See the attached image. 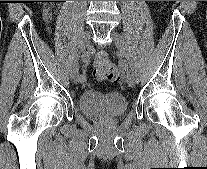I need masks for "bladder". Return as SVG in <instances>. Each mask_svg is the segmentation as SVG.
<instances>
[{"instance_id":"bladder-1","label":"bladder","mask_w":207,"mask_h":169,"mask_svg":"<svg viewBox=\"0 0 207 169\" xmlns=\"http://www.w3.org/2000/svg\"><path fill=\"white\" fill-rule=\"evenodd\" d=\"M81 112L94 119H115L124 115L128 108L126 98L118 92H100L89 89L79 97Z\"/></svg>"}]
</instances>
